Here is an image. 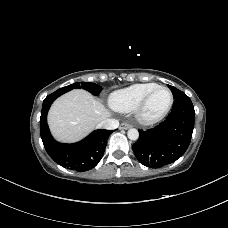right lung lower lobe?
<instances>
[{"mask_svg":"<svg viewBox=\"0 0 228 228\" xmlns=\"http://www.w3.org/2000/svg\"><path fill=\"white\" fill-rule=\"evenodd\" d=\"M60 95L62 94L55 91L43 101L40 133L44 147L49 156L61 166L76 171H87L100 162L110 131L95 130L85 139L74 144H63L55 141L47 125V113L53 101Z\"/></svg>","mask_w":228,"mask_h":228,"instance_id":"1","label":"right lung lower lobe"}]
</instances>
